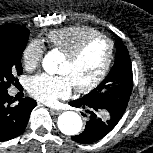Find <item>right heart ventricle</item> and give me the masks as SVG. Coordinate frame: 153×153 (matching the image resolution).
Wrapping results in <instances>:
<instances>
[{
  "instance_id": "1",
  "label": "right heart ventricle",
  "mask_w": 153,
  "mask_h": 153,
  "mask_svg": "<svg viewBox=\"0 0 153 153\" xmlns=\"http://www.w3.org/2000/svg\"><path fill=\"white\" fill-rule=\"evenodd\" d=\"M99 33L98 30L89 26H69L49 32L47 42L52 48L66 55L84 39Z\"/></svg>"
}]
</instances>
